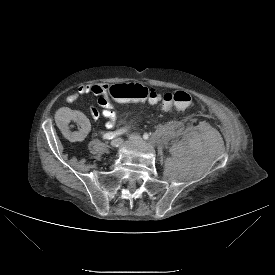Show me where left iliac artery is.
I'll return each mask as SVG.
<instances>
[{
	"label": "left iliac artery",
	"mask_w": 275,
	"mask_h": 275,
	"mask_svg": "<svg viewBox=\"0 0 275 275\" xmlns=\"http://www.w3.org/2000/svg\"><path fill=\"white\" fill-rule=\"evenodd\" d=\"M143 138H144L145 140H147V139L149 138V135H148L147 133H145V134L143 135Z\"/></svg>",
	"instance_id": "obj_1"
}]
</instances>
